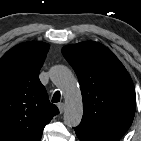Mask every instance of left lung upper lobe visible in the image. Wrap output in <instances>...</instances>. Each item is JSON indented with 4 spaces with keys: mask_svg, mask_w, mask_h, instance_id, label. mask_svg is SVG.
I'll return each mask as SVG.
<instances>
[{
    "mask_svg": "<svg viewBox=\"0 0 141 141\" xmlns=\"http://www.w3.org/2000/svg\"><path fill=\"white\" fill-rule=\"evenodd\" d=\"M75 70L83 98V117L75 127L82 141H118L129 129L136 108L135 89L119 59L99 42L62 48Z\"/></svg>",
    "mask_w": 141,
    "mask_h": 141,
    "instance_id": "1",
    "label": "left lung upper lobe"
}]
</instances>
